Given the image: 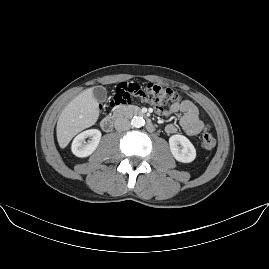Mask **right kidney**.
Instances as JSON below:
<instances>
[{
    "instance_id": "right-kidney-1",
    "label": "right kidney",
    "mask_w": 269,
    "mask_h": 269,
    "mask_svg": "<svg viewBox=\"0 0 269 269\" xmlns=\"http://www.w3.org/2000/svg\"><path fill=\"white\" fill-rule=\"evenodd\" d=\"M90 137L91 140L86 142L85 139ZM101 139V132L97 129H89L78 134L71 146L73 154L77 157H87L97 148Z\"/></svg>"
}]
</instances>
